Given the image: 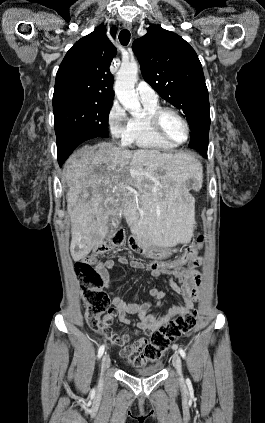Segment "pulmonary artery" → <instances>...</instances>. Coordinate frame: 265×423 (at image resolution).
Instances as JSON below:
<instances>
[{"label":"pulmonary artery","mask_w":265,"mask_h":423,"mask_svg":"<svg viewBox=\"0 0 265 423\" xmlns=\"http://www.w3.org/2000/svg\"><path fill=\"white\" fill-rule=\"evenodd\" d=\"M136 92L141 101L155 102L158 100V95L155 90L145 82L138 83Z\"/></svg>","instance_id":"pulmonary-artery-1"}]
</instances>
